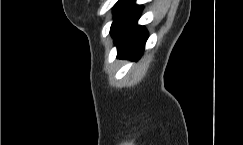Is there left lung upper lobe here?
Returning <instances> with one entry per match:
<instances>
[{
  "instance_id": "1",
  "label": "left lung upper lobe",
  "mask_w": 243,
  "mask_h": 145,
  "mask_svg": "<svg viewBox=\"0 0 243 145\" xmlns=\"http://www.w3.org/2000/svg\"><path fill=\"white\" fill-rule=\"evenodd\" d=\"M130 0H119L115 5H114V20L118 16V14L122 11V9L128 4Z\"/></svg>"
}]
</instances>
